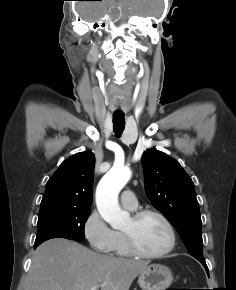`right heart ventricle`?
<instances>
[{"instance_id": "1", "label": "right heart ventricle", "mask_w": 236, "mask_h": 290, "mask_svg": "<svg viewBox=\"0 0 236 290\" xmlns=\"http://www.w3.org/2000/svg\"><path fill=\"white\" fill-rule=\"evenodd\" d=\"M111 252L120 257H127L130 255L121 232L115 231V241Z\"/></svg>"}]
</instances>
